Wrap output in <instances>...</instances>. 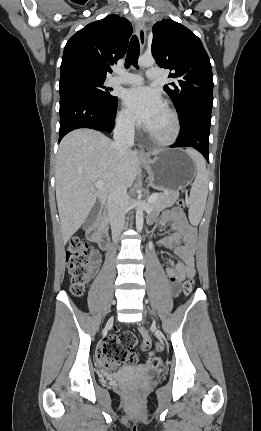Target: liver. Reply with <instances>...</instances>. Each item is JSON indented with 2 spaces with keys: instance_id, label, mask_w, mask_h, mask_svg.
Masks as SVG:
<instances>
[{
  "instance_id": "6515ba94",
  "label": "liver",
  "mask_w": 261,
  "mask_h": 431,
  "mask_svg": "<svg viewBox=\"0 0 261 431\" xmlns=\"http://www.w3.org/2000/svg\"><path fill=\"white\" fill-rule=\"evenodd\" d=\"M138 164L137 152L120 154L113 141L92 129H77L62 139L55 178L64 244L81 227L97 200H106L117 188L132 186ZM97 181L104 185L97 188Z\"/></svg>"
}]
</instances>
